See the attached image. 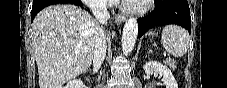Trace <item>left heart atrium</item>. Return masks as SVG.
<instances>
[{"label": "left heart atrium", "mask_w": 227, "mask_h": 88, "mask_svg": "<svg viewBox=\"0 0 227 88\" xmlns=\"http://www.w3.org/2000/svg\"><path fill=\"white\" fill-rule=\"evenodd\" d=\"M140 0H119L118 3H120L123 6H131L140 3Z\"/></svg>", "instance_id": "left-heart-atrium-1"}]
</instances>
